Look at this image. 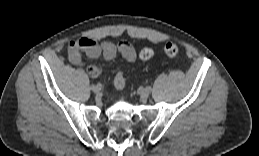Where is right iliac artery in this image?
Wrapping results in <instances>:
<instances>
[{"label":"right iliac artery","instance_id":"right-iliac-artery-1","mask_svg":"<svg viewBox=\"0 0 259 156\" xmlns=\"http://www.w3.org/2000/svg\"><path fill=\"white\" fill-rule=\"evenodd\" d=\"M95 88V85L94 84H91L90 85V90H93Z\"/></svg>","mask_w":259,"mask_h":156}]
</instances>
